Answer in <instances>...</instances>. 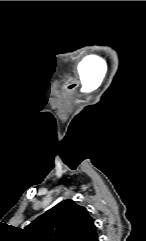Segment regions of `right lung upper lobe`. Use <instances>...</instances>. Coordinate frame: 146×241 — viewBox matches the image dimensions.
I'll return each instance as SVG.
<instances>
[{
    "instance_id": "obj_1",
    "label": "right lung upper lobe",
    "mask_w": 146,
    "mask_h": 241,
    "mask_svg": "<svg viewBox=\"0 0 146 241\" xmlns=\"http://www.w3.org/2000/svg\"><path fill=\"white\" fill-rule=\"evenodd\" d=\"M30 241H98L97 228L85 207L64 200L25 228Z\"/></svg>"
}]
</instances>
